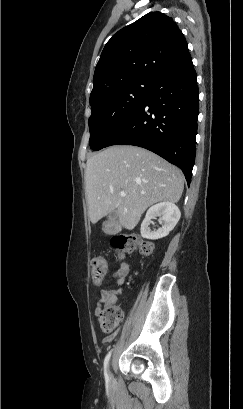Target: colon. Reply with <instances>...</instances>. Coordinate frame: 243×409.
<instances>
[{
    "label": "colon",
    "instance_id": "5ec220e1",
    "mask_svg": "<svg viewBox=\"0 0 243 409\" xmlns=\"http://www.w3.org/2000/svg\"><path fill=\"white\" fill-rule=\"evenodd\" d=\"M111 248L121 254H129L138 248L139 253L144 256L152 254L154 246L149 241H143L137 235H119L110 240ZM108 271L107 262L103 258H95L91 262V278L95 284H100ZM100 327L104 332H112L122 319L121 310L110 301L101 304L98 313Z\"/></svg>",
    "mask_w": 243,
    "mask_h": 409
}]
</instances>
